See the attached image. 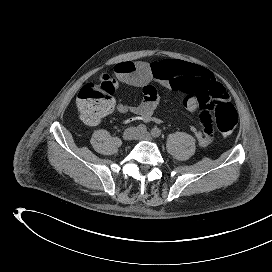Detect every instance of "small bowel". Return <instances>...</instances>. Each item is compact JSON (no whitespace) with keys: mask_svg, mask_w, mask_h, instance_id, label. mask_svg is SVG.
<instances>
[{"mask_svg":"<svg viewBox=\"0 0 272 272\" xmlns=\"http://www.w3.org/2000/svg\"><path fill=\"white\" fill-rule=\"evenodd\" d=\"M116 78L125 84L141 88L143 99L139 104L113 102L109 112L134 114L145 122L158 123L154 112L159 104V94L154 82L168 90L184 94L183 105L188 111L200 110L203 131L191 127L200 146L206 147L213 141L214 109L213 98L227 96L226 90L214 74L199 65L177 59L159 62L122 61L114 66Z\"/></svg>","mask_w":272,"mask_h":272,"instance_id":"obj_1","label":"small bowel"}]
</instances>
